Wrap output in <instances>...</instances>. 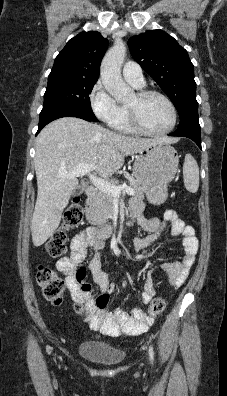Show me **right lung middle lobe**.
<instances>
[{"label": "right lung middle lobe", "mask_w": 227, "mask_h": 396, "mask_svg": "<svg viewBox=\"0 0 227 396\" xmlns=\"http://www.w3.org/2000/svg\"><path fill=\"white\" fill-rule=\"evenodd\" d=\"M97 78H87L66 73H50L44 94L42 110L65 106L84 113L92 121H98L91 105V93Z\"/></svg>", "instance_id": "right-lung-middle-lobe-1"}]
</instances>
